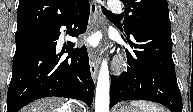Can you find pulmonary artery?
<instances>
[{"label": "pulmonary artery", "mask_w": 193, "mask_h": 112, "mask_svg": "<svg viewBox=\"0 0 193 112\" xmlns=\"http://www.w3.org/2000/svg\"><path fill=\"white\" fill-rule=\"evenodd\" d=\"M109 7H110L111 11L115 14H119L122 12L121 6L116 2H110Z\"/></svg>", "instance_id": "pulmonary-artery-1"}]
</instances>
